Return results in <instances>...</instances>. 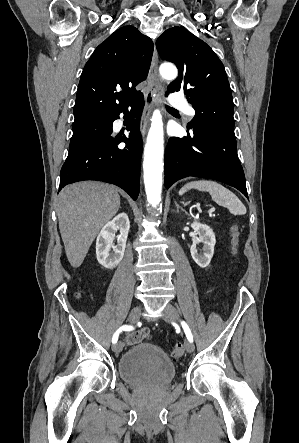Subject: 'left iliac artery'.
<instances>
[{
    "mask_svg": "<svg viewBox=\"0 0 299 443\" xmlns=\"http://www.w3.org/2000/svg\"><path fill=\"white\" fill-rule=\"evenodd\" d=\"M181 325H182V327H183V329H184V332H185V334H186L187 339H188L190 342H193V335H192V333H191V331H190V328H189V326L187 325V323H186L185 321H182V322H181Z\"/></svg>",
    "mask_w": 299,
    "mask_h": 443,
    "instance_id": "left-iliac-artery-1",
    "label": "left iliac artery"
}]
</instances>
